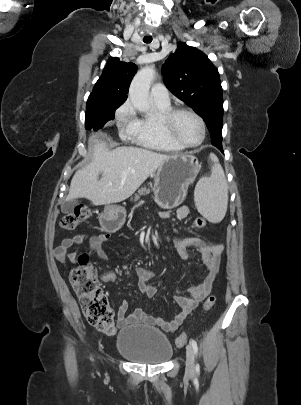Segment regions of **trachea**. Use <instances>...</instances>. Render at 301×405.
<instances>
[{
	"label": "trachea",
	"instance_id": "1",
	"mask_svg": "<svg viewBox=\"0 0 301 405\" xmlns=\"http://www.w3.org/2000/svg\"><path fill=\"white\" fill-rule=\"evenodd\" d=\"M143 41H144L145 43H151V42H152V37H151V36H145V37L143 38Z\"/></svg>",
	"mask_w": 301,
	"mask_h": 405
}]
</instances>
